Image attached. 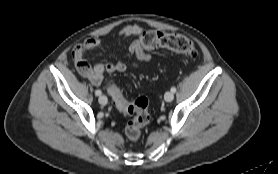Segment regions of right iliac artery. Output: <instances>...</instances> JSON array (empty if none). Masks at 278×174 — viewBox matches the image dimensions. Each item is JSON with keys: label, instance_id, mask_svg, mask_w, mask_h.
Listing matches in <instances>:
<instances>
[{"label": "right iliac artery", "instance_id": "82829eb1", "mask_svg": "<svg viewBox=\"0 0 278 174\" xmlns=\"http://www.w3.org/2000/svg\"><path fill=\"white\" fill-rule=\"evenodd\" d=\"M95 94H96L97 96H100V95L102 94V92H101V90H96V91H95Z\"/></svg>", "mask_w": 278, "mask_h": 174}]
</instances>
